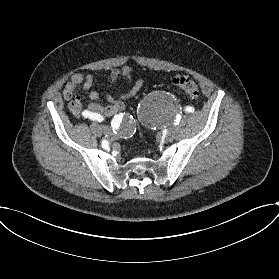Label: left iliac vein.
Returning <instances> with one entry per match:
<instances>
[{"label": "left iliac vein", "mask_w": 279, "mask_h": 279, "mask_svg": "<svg viewBox=\"0 0 279 279\" xmlns=\"http://www.w3.org/2000/svg\"><path fill=\"white\" fill-rule=\"evenodd\" d=\"M175 138V134L173 130H170L169 132H167L166 134V140L169 142H172Z\"/></svg>", "instance_id": "obj_1"}]
</instances>
